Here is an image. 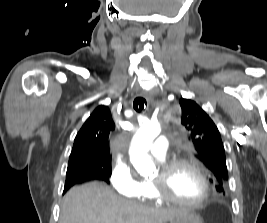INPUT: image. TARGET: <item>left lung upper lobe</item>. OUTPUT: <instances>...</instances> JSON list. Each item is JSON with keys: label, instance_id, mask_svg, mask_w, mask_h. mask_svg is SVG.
Instances as JSON below:
<instances>
[{"label": "left lung upper lobe", "instance_id": "1", "mask_svg": "<svg viewBox=\"0 0 267 223\" xmlns=\"http://www.w3.org/2000/svg\"><path fill=\"white\" fill-rule=\"evenodd\" d=\"M180 106L181 123L189 133L188 139L193 143L197 157L212 173L216 190L224 193L228 172L223 143L216 125L196 102L182 98Z\"/></svg>", "mask_w": 267, "mask_h": 223}]
</instances>
